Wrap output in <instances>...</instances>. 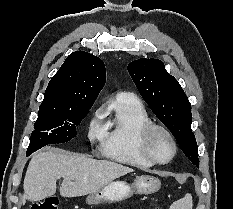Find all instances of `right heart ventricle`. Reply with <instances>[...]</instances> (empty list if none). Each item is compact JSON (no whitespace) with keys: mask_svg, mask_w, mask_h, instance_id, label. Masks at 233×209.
Listing matches in <instances>:
<instances>
[{"mask_svg":"<svg viewBox=\"0 0 233 209\" xmlns=\"http://www.w3.org/2000/svg\"><path fill=\"white\" fill-rule=\"evenodd\" d=\"M103 129L102 154L120 163L148 168L153 163L146 159L139 146L141 129L151 123L142 103L132 94L118 93L107 104Z\"/></svg>","mask_w":233,"mask_h":209,"instance_id":"obj_1","label":"right heart ventricle"}]
</instances>
